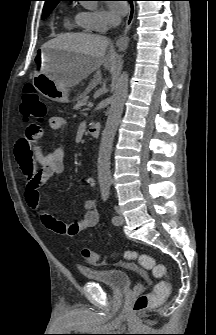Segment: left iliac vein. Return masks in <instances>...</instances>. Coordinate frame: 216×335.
Returning <instances> with one entry per match:
<instances>
[{
    "label": "left iliac vein",
    "instance_id": "1",
    "mask_svg": "<svg viewBox=\"0 0 216 335\" xmlns=\"http://www.w3.org/2000/svg\"><path fill=\"white\" fill-rule=\"evenodd\" d=\"M116 211H117L118 221L114 224L115 225H122L124 223V217H123L119 208H117Z\"/></svg>",
    "mask_w": 216,
    "mask_h": 335
}]
</instances>
